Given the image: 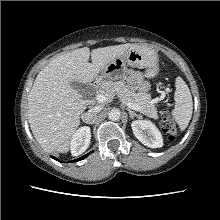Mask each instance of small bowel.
Listing matches in <instances>:
<instances>
[{
  "instance_id": "c3829d8e",
  "label": "small bowel",
  "mask_w": 220,
  "mask_h": 220,
  "mask_svg": "<svg viewBox=\"0 0 220 220\" xmlns=\"http://www.w3.org/2000/svg\"><path fill=\"white\" fill-rule=\"evenodd\" d=\"M132 79L140 91L142 92L146 91L147 83L140 74H135Z\"/></svg>"
}]
</instances>
